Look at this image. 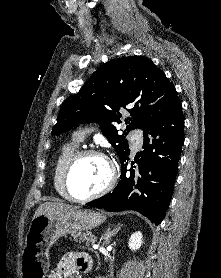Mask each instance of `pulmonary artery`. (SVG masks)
Masks as SVG:
<instances>
[{
    "label": "pulmonary artery",
    "instance_id": "pulmonary-artery-1",
    "mask_svg": "<svg viewBox=\"0 0 221 278\" xmlns=\"http://www.w3.org/2000/svg\"><path fill=\"white\" fill-rule=\"evenodd\" d=\"M87 132H89V129L79 131L75 134L74 138L81 142L85 139ZM131 142H132V145H133V149L135 151L139 150L142 146V143H143L142 134L140 132H134L131 135Z\"/></svg>",
    "mask_w": 221,
    "mask_h": 278
}]
</instances>
